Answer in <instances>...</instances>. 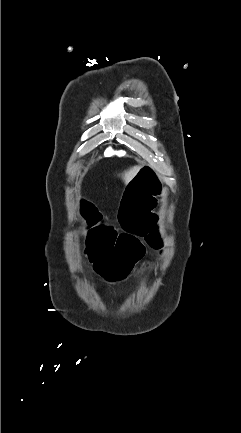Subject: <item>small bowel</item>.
Segmentation results:
<instances>
[{
	"mask_svg": "<svg viewBox=\"0 0 241 433\" xmlns=\"http://www.w3.org/2000/svg\"><path fill=\"white\" fill-rule=\"evenodd\" d=\"M160 181H162V180H160ZM153 217H155V216H153ZM126 233H127V231H126ZM137 239H138V237H137Z\"/></svg>",
	"mask_w": 241,
	"mask_h": 433,
	"instance_id": "1",
	"label": "small bowel"
}]
</instances>
